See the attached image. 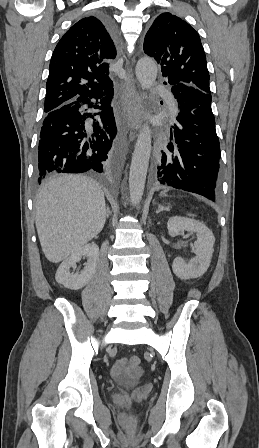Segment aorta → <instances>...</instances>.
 I'll return each mask as SVG.
<instances>
[{"mask_svg":"<svg viewBox=\"0 0 259 448\" xmlns=\"http://www.w3.org/2000/svg\"><path fill=\"white\" fill-rule=\"evenodd\" d=\"M158 67L152 58H141L136 65V77L144 89L153 86L157 77ZM151 131L148 124H144L135 144L129 173V192L132 204L140 203L149 165L151 153Z\"/></svg>","mask_w":259,"mask_h":448,"instance_id":"obj_1","label":"aorta"}]
</instances>
